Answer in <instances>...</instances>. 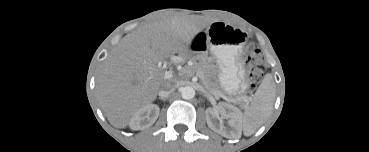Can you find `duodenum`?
Instances as JSON below:
<instances>
[{"mask_svg":"<svg viewBox=\"0 0 369 152\" xmlns=\"http://www.w3.org/2000/svg\"><path fill=\"white\" fill-rule=\"evenodd\" d=\"M171 75H172L171 70H168V71L166 72V77H167V78H169V77H171Z\"/></svg>","mask_w":369,"mask_h":152,"instance_id":"1","label":"duodenum"}]
</instances>
